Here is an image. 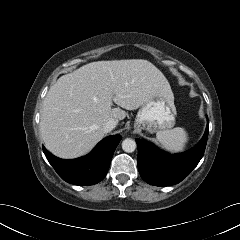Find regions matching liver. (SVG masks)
Here are the masks:
<instances>
[{
  "mask_svg": "<svg viewBox=\"0 0 240 240\" xmlns=\"http://www.w3.org/2000/svg\"><path fill=\"white\" fill-rule=\"evenodd\" d=\"M159 93L173 97L166 77L147 60L88 63L50 87L39 125L45 147L60 158L82 156L104 137L107 120L126 117L112 102L135 110Z\"/></svg>",
  "mask_w": 240,
  "mask_h": 240,
  "instance_id": "obj_1",
  "label": "liver"
}]
</instances>
